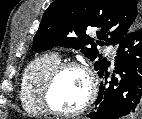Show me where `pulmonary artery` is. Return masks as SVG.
I'll return each mask as SVG.
<instances>
[{
	"mask_svg": "<svg viewBox=\"0 0 142 119\" xmlns=\"http://www.w3.org/2000/svg\"><path fill=\"white\" fill-rule=\"evenodd\" d=\"M108 51H109V53H110V55H111L112 61H114V60H115V56H116L115 49L112 48V47H110V48L108 49Z\"/></svg>",
	"mask_w": 142,
	"mask_h": 119,
	"instance_id": "pulmonary-artery-1",
	"label": "pulmonary artery"
}]
</instances>
